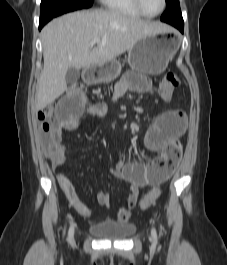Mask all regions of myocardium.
Here are the masks:
<instances>
[{"instance_id": "obj_1", "label": "myocardium", "mask_w": 227, "mask_h": 265, "mask_svg": "<svg viewBox=\"0 0 227 265\" xmlns=\"http://www.w3.org/2000/svg\"><path fill=\"white\" fill-rule=\"evenodd\" d=\"M134 5L136 7V9L140 12V14L144 17H148V18H153V17H157L158 15H160L166 8V0H162V7L161 9L155 13V14H148L147 12L144 11L143 7H142V3L141 0H133Z\"/></svg>"}]
</instances>
